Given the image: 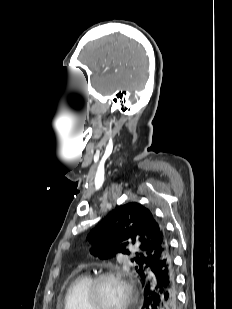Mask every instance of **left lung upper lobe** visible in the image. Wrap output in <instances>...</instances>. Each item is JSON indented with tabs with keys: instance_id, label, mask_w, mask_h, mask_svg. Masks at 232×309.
<instances>
[{
	"instance_id": "1",
	"label": "left lung upper lobe",
	"mask_w": 232,
	"mask_h": 309,
	"mask_svg": "<svg viewBox=\"0 0 232 309\" xmlns=\"http://www.w3.org/2000/svg\"><path fill=\"white\" fill-rule=\"evenodd\" d=\"M91 254L111 259L119 253L129 255L142 280L152 261L168 249L169 242L163 224L151 211L139 203L121 205L107 215L89 234Z\"/></svg>"
}]
</instances>
